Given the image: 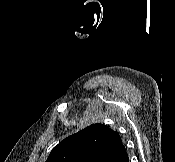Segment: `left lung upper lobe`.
<instances>
[{
    "label": "left lung upper lobe",
    "mask_w": 175,
    "mask_h": 162,
    "mask_svg": "<svg viewBox=\"0 0 175 162\" xmlns=\"http://www.w3.org/2000/svg\"><path fill=\"white\" fill-rule=\"evenodd\" d=\"M121 143L117 132L103 124H92L62 140L46 162H105Z\"/></svg>",
    "instance_id": "5c2ea615"
}]
</instances>
